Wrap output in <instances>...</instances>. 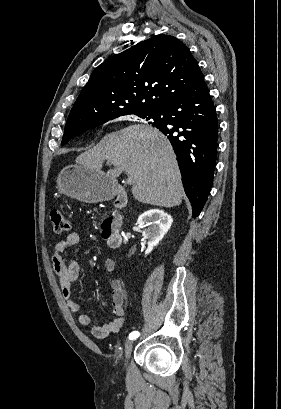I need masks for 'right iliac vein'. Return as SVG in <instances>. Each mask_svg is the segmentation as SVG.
I'll use <instances>...</instances> for the list:
<instances>
[{"label": "right iliac vein", "instance_id": "right-iliac-vein-1", "mask_svg": "<svg viewBox=\"0 0 281 409\" xmlns=\"http://www.w3.org/2000/svg\"><path fill=\"white\" fill-rule=\"evenodd\" d=\"M132 349H133V341L128 340L125 343V359H126V361H128V359L130 358Z\"/></svg>", "mask_w": 281, "mask_h": 409}]
</instances>
